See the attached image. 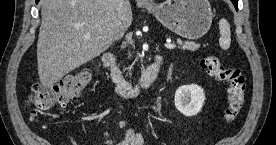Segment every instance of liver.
I'll list each match as a JSON object with an SVG mask.
<instances>
[{
	"mask_svg": "<svg viewBox=\"0 0 276 145\" xmlns=\"http://www.w3.org/2000/svg\"><path fill=\"white\" fill-rule=\"evenodd\" d=\"M41 5L37 62L46 88L107 50L133 20L130 3L119 9L117 0H42Z\"/></svg>",
	"mask_w": 276,
	"mask_h": 145,
	"instance_id": "1",
	"label": "liver"
}]
</instances>
